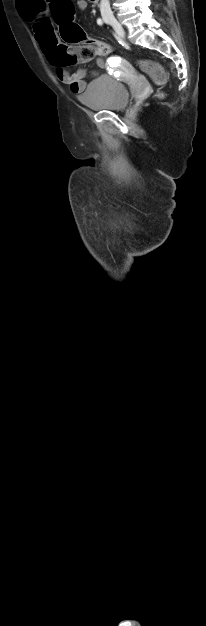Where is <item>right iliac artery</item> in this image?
Returning <instances> with one entry per match:
<instances>
[{"label":"right iliac artery","mask_w":206,"mask_h":626,"mask_svg":"<svg viewBox=\"0 0 206 626\" xmlns=\"http://www.w3.org/2000/svg\"><path fill=\"white\" fill-rule=\"evenodd\" d=\"M97 24H98V25H103V21H102V19H101V18H98V19H97Z\"/></svg>","instance_id":"obj_1"}]
</instances>
